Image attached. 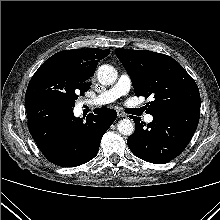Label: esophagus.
I'll return each mask as SVG.
<instances>
[{"instance_id":"esophagus-1","label":"esophagus","mask_w":220,"mask_h":220,"mask_svg":"<svg viewBox=\"0 0 220 220\" xmlns=\"http://www.w3.org/2000/svg\"><path fill=\"white\" fill-rule=\"evenodd\" d=\"M117 115H118V117H125L126 116V114L121 110H117Z\"/></svg>"}]
</instances>
